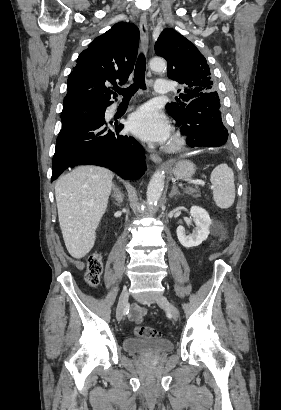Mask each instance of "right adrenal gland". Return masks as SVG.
Wrapping results in <instances>:
<instances>
[{
  "mask_svg": "<svg viewBox=\"0 0 281 410\" xmlns=\"http://www.w3.org/2000/svg\"><path fill=\"white\" fill-rule=\"evenodd\" d=\"M111 197L116 200V202H117L116 204L118 206L123 202V199H124V195L122 194L120 189L115 184H113V194H112Z\"/></svg>",
  "mask_w": 281,
  "mask_h": 410,
  "instance_id": "1",
  "label": "right adrenal gland"
}]
</instances>
